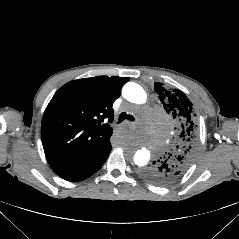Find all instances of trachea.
I'll return each mask as SVG.
<instances>
[{"label":"trachea","instance_id":"1","mask_svg":"<svg viewBox=\"0 0 239 239\" xmlns=\"http://www.w3.org/2000/svg\"><path fill=\"white\" fill-rule=\"evenodd\" d=\"M130 120V121H134L135 118L132 116V115H127L125 112H122L120 115H119V118H118V123L124 121V120Z\"/></svg>","mask_w":239,"mask_h":239}]
</instances>
